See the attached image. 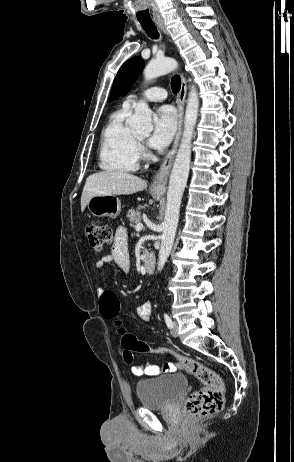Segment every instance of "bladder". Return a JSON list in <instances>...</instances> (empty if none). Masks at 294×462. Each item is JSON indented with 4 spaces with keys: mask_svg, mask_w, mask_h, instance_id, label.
Here are the masks:
<instances>
[{
    "mask_svg": "<svg viewBox=\"0 0 294 462\" xmlns=\"http://www.w3.org/2000/svg\"><path fill=\"white\" fill-rule=\"evenodd\" d=\"M187 387L186 377L174 373L139 380L136 383V394L142 407L160 409L175 402Z\"/></svg>",
    "mask_w": 294,
    "mask_h": 462,
    "instance_id": "31cf9c89",
    "label": "bladder"
}]
</instances>
